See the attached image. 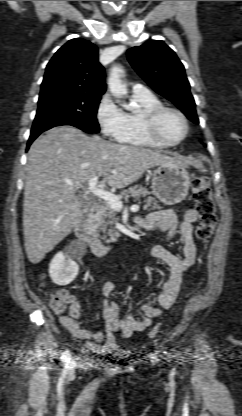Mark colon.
I'll list each match as a JSON object with an SVG mask.
<instances>
[{
    "label": "colon",
    "instance_id": "5ec220e1",
    "mask_svg": "<svg viewBox=\"0 0 242 416\" xmlns=\"http://www.w3.org/2000/svg\"><path fill=\"white\" fill-rule=\"evenodd\" d=\"M192 192L199 216L196 237L198 240L205 242L211 237L217 224V211L208 179L203 176L193 178ZM70 302V297L66 291L61 290L51 294V305L56 313H61ZM158 333L159 327H154L149 332V338H155Z\"/></svg>",
    "mask_w": 242,
    "mask_h": 416
}]
</instances>
